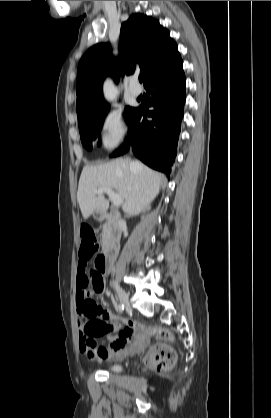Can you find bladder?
<instances>
[{
	"instance_id": "obj_1",
	"label": "bladder",
	"mask_w": 271,
	"mask_h": 418,
	"mask_svg": "<svg viewBox=\"0 0 271 418\" xmlns=\"http://www.w3.org/2000/svg\"><path fill=\"white\" fill-rule=\"evenodd\" d=\"M108 369H109V370H111V371H113V372H119V371H120V369H121V367H120V365H119V364H117V363H113V364H110V365L108 366Z\"/></svg>"
}]
</instances>
